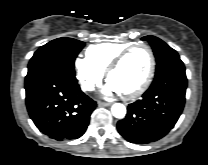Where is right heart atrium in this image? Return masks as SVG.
Wrapping results in <instances>:
<instances>
[{
  "label": "right heart atrium",
  "instance_id": "obj_1",
  "mask_svg": "<svg viewBox=\"0 0 208 165\" xmlns=\"http://www.w3.org/2000/svg\"><path fill=\"white\" fill-rule=\"evenodd\" d=\"M77 81L83 91H92L102 78L101 72L87 57L78 56L74 60Z\"/></svg>",
  "mask_w": 208,
  "mask_h": 165
}]
</instances>
